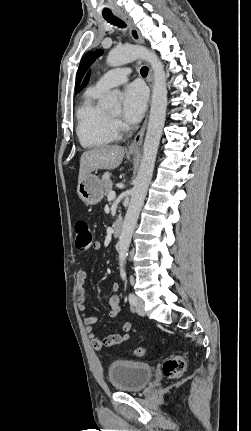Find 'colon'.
Segmentation results:
<instances>
[{
	"label": "colon",
	"instance_id": "1",
	"mask_svg": "<svg viewBox=\"0 0 251 431\" xmlns=\"http://www.w3.org/2000/svg\"><path fill=\"white\" fill-rule=\"evenodd\" d=\"M76 248L79 251H86L94 244L93 233L89 224L84 220H79L75 224ZM135 357H143L145 348L137 347L134 349ZM185 360L182 356L176 355L168 358L162 365V371L165 377L170 379L179 378L185 370Z\"/></svg>",
	"mask_w": 251,
	"mask_h": 431
}]
</instances>
